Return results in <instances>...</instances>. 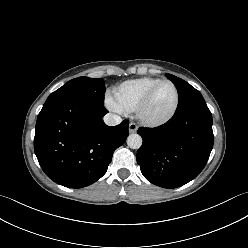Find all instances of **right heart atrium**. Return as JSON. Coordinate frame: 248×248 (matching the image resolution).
<instances>
[{"mask_svg":"<svg viewBox=\"0 0 248 248\" xmlns=\"http://www.w3.org/2000/svg\"><path fill=\"white\" fill-rule=\"evenodd\" d=\"M107 104L111 109L120 111V109L116 106V104L113 102L111 98L107 99Z\"/></svg>","mask_w":248,"mask_h":248,"instance_id":"d8ad5b80","label":"right heart atrium"}]
</instances>
